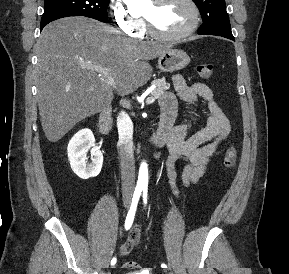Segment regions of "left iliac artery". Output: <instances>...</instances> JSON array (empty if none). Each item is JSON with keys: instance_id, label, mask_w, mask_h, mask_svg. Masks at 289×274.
Segmentation results:
<instances>
[{"instance_id": "obj_1", "label": "left iliac artery", "mask_w": 289, "mask_h": 274, "mask_svg": "<svg viewBox=\"0 0 289 274\" xmlns=\"http://www.w3.org/2000/svg\"><path fill=\"white\" fill-rule=\"evenodd\" d=\"M143 202H144V204L146 205V203H147V188H144V189H143ZM161 267H162V268H167V265L164 264V263H162V264H161Z\"/></svg>"}]
</instances>
